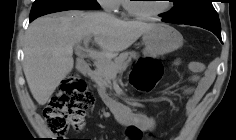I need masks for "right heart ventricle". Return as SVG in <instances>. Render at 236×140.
<instances>
[{"instance_id": "e07e8e85", "label": "right heart ventricle", "mask_w": 236, "mask_h": 140, "mask_svg": "<svg viewBox=\"0 0 236 140\" xmlns=\"http://www.w3.org/2000/svg\"><path fill=\"white\" fill-rule=\"evenodd\" d=\"M118 3L119 5H123L125 7L126 0H119Z\"/></svg>"}]
</instances>
